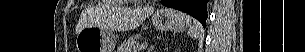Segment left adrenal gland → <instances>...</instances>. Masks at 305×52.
<instances>
[{"label": "left adrenal gland", "instance_id": "obj_1", "mask_svg": "<svg viewBox=\"0 0 305 52\" xmlns=\"http://www.w3.org/2000/svg\"><path fill=\"white\" fill-rule=\"evenodd\" d=\"M154 49V45H152L150 48H149V52H152Z\"/></svg>", "mask_w": 305, "mask_h": 52}]
</instances>
